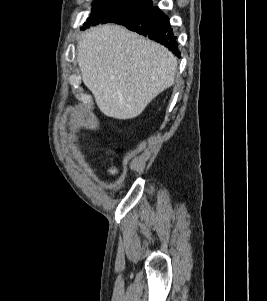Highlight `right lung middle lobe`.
<instances>
[{"instance_id":"right-lung-middle-lobe-1","label":"right lung middle lobe","mask_w":267,"mask_h":301,"mask_svg":"<svg viewBox=\"0 0 267 301\" xmlns=\"http://www.w3.org/2000/svg\"><path fill=\"white\" fill-rule=\"evenodd\" d=\"M93 10L85 27L100 23L115 22L118 19L151 7L147 0H95ZM84 29V28H83Z\"/></svg>"}]
</instances>
